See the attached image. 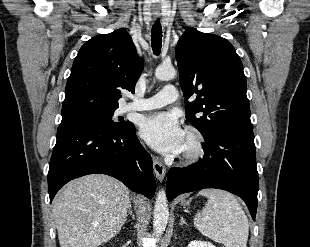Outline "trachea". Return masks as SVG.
Wrapping results in <instances>:
<instances>
[{
    "label": "trachea",
    "mask_w": 310,
    "mask_h": 247,
    "mask_svg": "<svg viewBox=\"0 0 310 247\" xmlns=\"http://www.w3.org/2000/svg\"><path fill=\"white\" fill-rule=\"evenodd\" d=\"M151 43L154 54L159 55L162 47V27L159 20L152 26Z\"/></svg>",
    "instance_id": "3493384b"
}]
</instances>
